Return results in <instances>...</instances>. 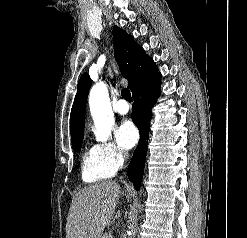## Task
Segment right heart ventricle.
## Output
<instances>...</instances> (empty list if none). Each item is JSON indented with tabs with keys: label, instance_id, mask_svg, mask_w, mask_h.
I'll return each instance as SVG.
<instances>
[{
	"label": "right heart ventricle",
	"instance_id": "1",
	"mask_svg": "<svg viewBox=\"0 0 247 238\" xmlns=\"http://www.w3.org/2000/svg\"><path fill=\"white\" fill-rule=\"evenodd\" d=\"M116 170L104 160L97 145L84 150L81 160V177L85 183L93 184L113 177Z\"/></svg>",
	"mask_w": 247,
	"mask_h": 238
}]
</instances>
